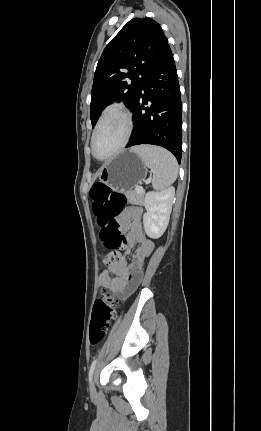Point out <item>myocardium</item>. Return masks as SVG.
<instances>
[{"label": "myocardium", "instance_id": "obj_1", "mask_svg": "<svg viewBox=\"0 0 261 431\" xmlns=\"http://www.w3.org/2000/svg\"><path fill=\"white\" fill-rule=\"evenodd\" d=\"M111 114H118V115H120L123 118V120L125 122V125H126V130H125V134H124L123 140L120 143V145L117 147V149L114 152H112L110 155L101 158V157H98L96 155V153H95V149H94L95 138H96L97 132L100 129L101 125L104 123V121L106 120V118L109 115H111ZM132 131H133V119H132L131 113L128 110H126L125 108H123L121 106H111V107L107 108L102 113V115L100 116V118H99V120H98V122H97V124H96V126H95V128L93 130V133H92V137H91V151H92L93 156L96 159L101 160V161L109 160V159L115 157L128 144L129 139H130L131 134H132Z\"/></svg>", "mask_w": 261, "mask_h": 431}]
</instances>
